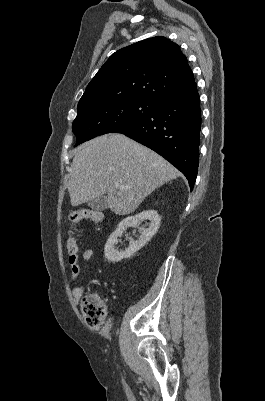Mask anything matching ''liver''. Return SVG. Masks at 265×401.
<instances>
[{
    "label": "liver",
    "mask_w": 265,
    "mask_h": 401,
    "mask_svg": "<svg viewBox=\"0 0 265 401\" xmlns=\"http://www.w3.org/2000/svg\"><path fill=\"white\" fill-rule=\"evenodd\" d=\"M179 174L154 150L110 132L77 146L67 184L70 203L78 207L108 194L107 205L115 215H130L145 196Z\"/></svg>",
    "instance_id": "6515ba94"
}]
</instances>
